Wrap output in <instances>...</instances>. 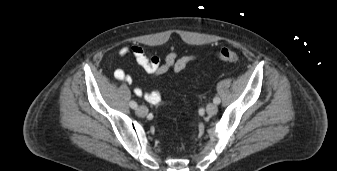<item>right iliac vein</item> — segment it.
<instances>
[{
    "mask_svg": "<svg viewBox=\"0 0 337 171\" xmlns=\"http://www.w3.org/2000/svg\"><path fill=\"white\" fill-rule=\"evenodd\" d=\"M148 113V108L145 107V106H139L137 109H136V114L140 117H144L146 116Z\"/></svg>",
    "mask_w": 337,
    "mask_h": 171,
    "instance_id": "63e3f726",
    "label": "right iliac vein"
}]
</instances>
